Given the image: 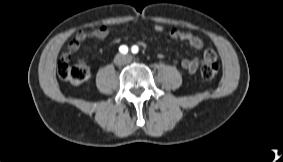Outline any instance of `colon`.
<instances>
[{
  "mask_svg": "<svg viewBox=\"0 0 283 162\" xmlns=\"http://www.w3.org/2000/svg\"><path fill=\"white\" fill-rule=\"evenodd\" d=\"M219 68L216 56L213 53H207L201 67V76L206 80H212L218 75ZM58 75L62 80L79 86L89 78L90 69L86 64L70 65L68 60L60 59Z\"/></svg>",
  "mask_w": 283,
  "mask_h": 162,
  "instance_id": "5ec220e1",
  "label": "colon"
}]
</instances>
